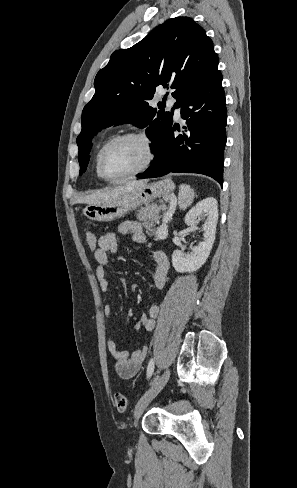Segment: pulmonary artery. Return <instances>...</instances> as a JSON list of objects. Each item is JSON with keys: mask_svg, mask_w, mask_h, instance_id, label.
I'll list each match as a JSON object with an SVG mask.
<instances>
[{"mask_svg": "<svg viewBox=\"0 0 297 488\" xmlns=\"http://www.w3.org/2000/svg\"><path fill=\"white\" fill-rule=\"evenodd\" d=\"M176 101L174 99H169L168 100V105L172 108H174V114L177 118L180 117V114H181V110H180V107L176 106L175 103Z\"/></svg>", "mask_w": 297, "mask_h": 488, "instance_id": "pulmonary-artery-1", "label": "pulmonary artery"}]
</instances>
